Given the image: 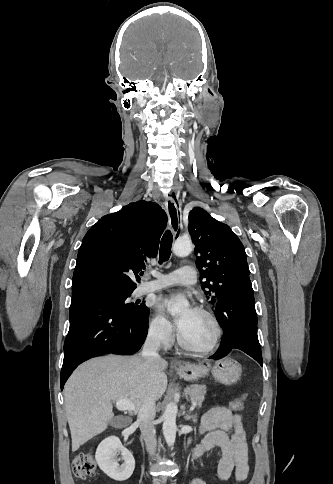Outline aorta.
I'll use <instances>...</instances> for the list:
<instances>
[{"instance_id": "aorta-1", "label": "aorta", "mask_w": 333, "mask_h": 484, "mask_svg": "<svg viewBox=\"0 0 333 484\" xmlns=\"http://www.w3.org/2000/svg\"><path fill=\"white\" fill-rule=\"evenodd\" d=\"M173 252L176 256L185 257L189 255L193 249L192 243L188 239H177L172 245ZM189 306V302L185 297H176L170 309L171 315H179ZM178 406L175 402L167 405L163 414V435L165 441L169 446L173 445L176 440V416Z\"/></svg>"}]
</instances>
